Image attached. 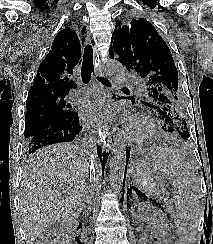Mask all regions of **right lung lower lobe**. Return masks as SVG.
Segmentation results:
<instances>
[{"label":"right lung lower lobe","mask_w":213,"mask_h":244,"mask_svg":"<svg viewBox=\"0 0 213 244\" xmlns=\"http://www.w3.org/2000/svg\"><path fill=\"white\" fill-rule=\"evenodd\" d=\"M81 130L82 126L79 125V117L76 113L71 119L56 123L28 139L27 152L31 154L43 146L73 141ZM98 147L100 148V146ZM97 152L102 165H104V162L107 159V154L102 153L100 149H97Z\"/></svg>","instance_id":"right-lung-lower-lobe-1"}]
</instances>
